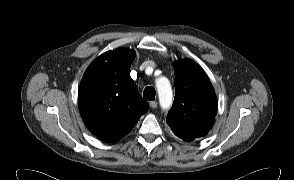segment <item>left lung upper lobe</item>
Returning a JSON list of instances; mask_svg holds the SVG:
<instances>
[{
    "mask_svg": "<svg viewBox=\"0 0 294 180\" xmlns=\"http://www.w3.org/2000/svg\"><path fill=\"white\" fill-rule=\"evenodd\" d=\"M176 95L167 124L179 138H199L212 128L217 113L214 89L202 68L190 59L175 62Z\"/></svg>",
    "mask_w": 294,
    "mask_h": 180,
    "instance_id": "5c2ea615",
    "label": "left lung upper lobe"
}]
</instances>
